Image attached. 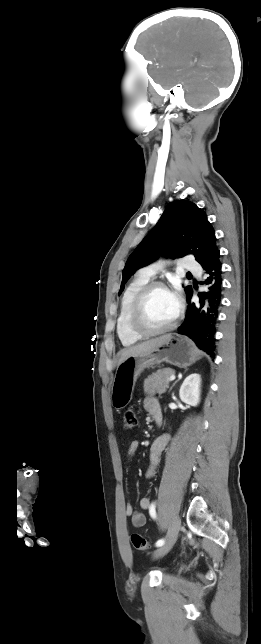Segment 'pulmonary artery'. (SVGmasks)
Instances as JSON below:
<instances>
[{
	"label": "pulmonary artery",
	"mask_w": 261,
	"mask_h": 644,
	"mask_svg": "<svg viewBox=\"0 0 261 644\" xmlns=\"http://www.w3.org/2000/svg\"><path fill=\"white\" fill-rule=\"evenodd\" d=\"M181 266L191 272L198 273L200 272V266L195 260L189 256L181 259ZM162 267L161 263H153L148 266H145L141 269L140 273L152 277L154 276Z\"/></svg>",
	"instance_id": "pulmonary-artery-1"
}]
</instances>
